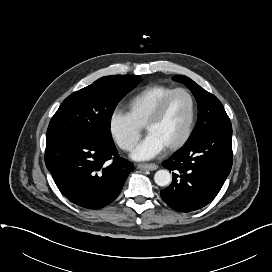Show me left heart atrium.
<instances>
[{
  "label": "left heart atrium",
  "mask_w": 272,
  "mask_h": 272,
  "mask_svg": "<svg viewBox=\"0 0 272 272\" xmlns=\"http://www.w3.org/2000/svg\"><path fill=\"white\" fill-rule=\"evenodd\" d=\"M164 149V144L154 134H148L134 149L132 158L138 161L149 160L159 155Z\"/></svg>",
  "instance_id": "1"
}]
</instances>
